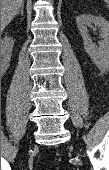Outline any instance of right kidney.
I'll list each match as a JSON object with an SVG mask.
<instances>
[{
    "mask_svg": "<svg viewBox=\"0 0 109 170\" xmlns=\"http://www.w3.org/2000/svg\"><path fill=\"white\" fill-rule=\"evenodd\" d=\"M14 40L11 37L1 39V71L5 73L9 68V63L12 55Z\"/></svg>",
    "mask_w": 109,
    "mask_h": 170,
    "instance_id": "obj_1",
    "label": "right kidney"
}]
</instances>
